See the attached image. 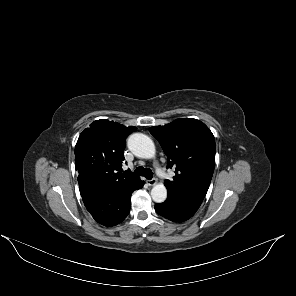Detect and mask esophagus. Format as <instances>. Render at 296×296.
Wrapping results in <instances>:
<instances>
[{
    "label": "esophagus",
    "instance_id": "34e87169",
    "mask_svg": "<svg viewBox=\"0 0 296 296\" xmlns=\"http://www.w3.org/2000/svg\"><path fill=\"white\" fill-rule=\"evenodd\" d=\"M157 183V179L156 178H152L151 180H147V184L149 186H154Z\"/></svg>",
    "mask_w": 296,
    "mask_h": 296
}]
</instances>
